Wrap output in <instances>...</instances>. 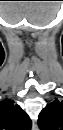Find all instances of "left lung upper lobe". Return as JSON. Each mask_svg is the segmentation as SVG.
I'll return each instance as SVG.
<instances>
[{
    "label": "left lung upper lobe",
    "mask_w": 63,
    "mask_h": 130,
    "mask_svg": "<svg viewBox=\"0 0 63 130\" xmlns=\"http://www.w3.org/2000/svg\"><path fill=\"white\" fill-rule=\"evenodd\" d=\"M38 124L43 130H63V102L47 104L39 114Z\"/></svg>",
    "instance_id": "5c2ea615"
}]
</instances>
